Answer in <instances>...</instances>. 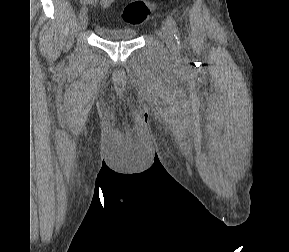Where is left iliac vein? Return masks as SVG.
I'll list each match as a JSON object with an SVG mask.
<instances>
[{"instance_id":"obj_1","label":"left iliac vein","mask_w":289,"mask_h":252,"mask_svg":"<svg viewBox=\"0 0 289 252\" xmlns=\"http://www.w3.org/2000/svg\"><path fill=\"white\" fill-rule=\"evenodd\" d=\"M161 33H162V37H163L164 42H165L166 46L168 47V49L174 50L175 49V41H174L172 31H171L167 22L162 23Z\"/></svg>"}]
</instances>
